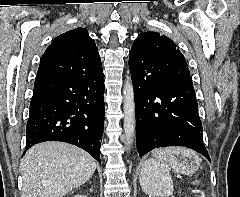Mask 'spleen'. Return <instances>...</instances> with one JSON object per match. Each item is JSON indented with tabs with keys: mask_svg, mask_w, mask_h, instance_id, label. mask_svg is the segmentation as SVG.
Returning a JSON list of instances; mask_svg holds the SVG:
<instances>
[{
	"mask_svg": "<svg viewBox=\"0 0 240 197\" xmlns=\"http://www.w3.org/2000/svg\"><path fill=\"white\" fill-rule=\"evenodd\" d=\"M152 155L153 158L145 161L141 167L140 181L143 182L141 183L142 188L144 192L149 194V197H168L174 190L169 172L170 163L174 162L178 155L191 157L196 154L186 148L170 147L156 149Z\"/></svg>",
	"mask_w": 240,
	"mask_h": 197,
	"instance_id": "3e777b00",
	"label": "spleen"
}]
</instances>
